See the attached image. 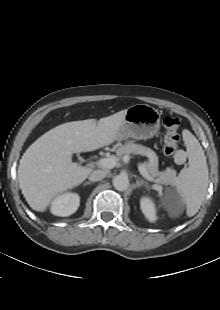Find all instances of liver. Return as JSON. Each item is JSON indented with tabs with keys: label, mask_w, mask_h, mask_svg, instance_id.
Here are the masks:
<instances>
[{
	"label": "liver",
	"mask_w": 220,
	"mask_h": 310,
	"mask_svg": "<svg viewBox=\"0 0 220 310\" xmlns=\"http://www.w3.org/2000/svg\"><path fill=\"white\" fill-rule=\"evenodd\" d=\"M127 109L111 116L72 121L39 137L23 154L19 187L29 206L44 212L60 193L80 185L91 169L72 162L73 153L89 152L118 140Z\"/></svg>",
	"instance_id": "6515ba94"
}]
</instances>
